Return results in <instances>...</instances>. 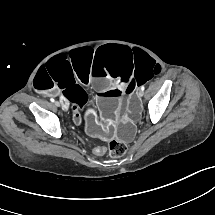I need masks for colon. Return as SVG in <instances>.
I'll use <instances>...</instances> for the list:
<instances>
[{
    "label": "colon",
    "mask_w": 215,
    "mask_h": 215,
    "mask_svg": "<svg viewBox=\"0 0 215 215\" xmlns=\"http://www.w3.org/2000/svg\"><path fill=\"white\" fill-rule=\"evenodd\" d=\"M78 96L80 98H85L84 93L78 92ZM108 154L111 156H121L127 150V145L125 142L122 141H114L108 144Z\"/></svg>",
    "instance_id": "colon-1"
}]
</instances>
